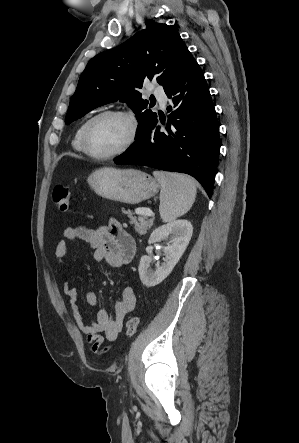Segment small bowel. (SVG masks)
Masks as SVG:
<instances>
[{
	"label": "small bowel",
	"mask_w": 299,
	"mask_h": 443,
	"mask_svg": "<svg viewBox=\"0 0 299 443\" xmlns=\"http://www.w3.org/2000/svg\"><path fill=\"white\" fill-rule=\"evenodd\" d=\"M63 240L55 249L56 260L60 263L68 251V242H85L93 252L97 262H106L114 268L126 266L134 258L136 243L122 225L111 219L107 226L94 229L85 226L68 227L63 232ZM62 290L69 299L72 316L79 329L86 334L88 343L95 353L101 354L109 350L104 347L105 342H114L128 313L136 306L135 292L131 287H125L114 305V315L106 310H99L96 320L87 323L83 319L78 303L76 288L68 281L63 282ZM88 305L96 306L98 297L95 292L89 291L85 295Z\"/></svg>",
	"instance_id": "small-bowel-1"
}]
</instances>
